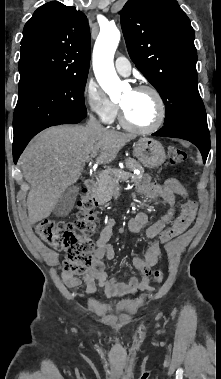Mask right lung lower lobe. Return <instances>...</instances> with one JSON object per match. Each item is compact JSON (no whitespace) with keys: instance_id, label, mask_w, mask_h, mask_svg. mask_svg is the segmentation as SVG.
<instances>
[{"instance_id":"98d812e1","label":"right lung lower lobe","mask_w":221,"mask_h":379,"mask_svg":"<svg viewBox=\"0 0 221 379\" xmlns=\"http://www.w3.org/2000/svg\"><path fill=\"white\" fill-rule=\"evenodd\" d=\"M82 119H84V118H82V117H66L63 120H61L59 122V124H75V123L80 122ZM29 141L30 140H27V141L21 142V143H13V160H14V163L17 162L20 154L22 153V151L24 150V148L26 147V145L28 144Z\"/></svg>"}]
</instances>
